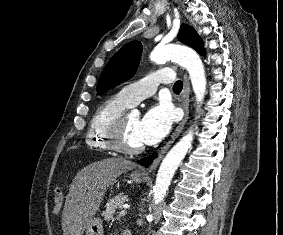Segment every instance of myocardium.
I'll use <instances>...</instances> for the list:
<instances>
[{"label": "myocardium", "mask_w": 283, "mask_h": 235, "mask_svg": "<svg viewBox=\"0 0 283 235\" xmlns=\"http://www.w3.org/2000/svg\"><path fill=\"white\" fill-rule=\"evenodd\" d=\"M127 115L121 114L116 120L113 121L108 129L107 135L111 147L119 153L125 155H136L144 150V145L138 147H130L125 142V124Z\"/></svg>", "instance_id": "obj_1"}]
</instances>
